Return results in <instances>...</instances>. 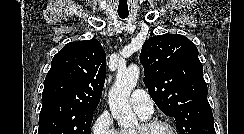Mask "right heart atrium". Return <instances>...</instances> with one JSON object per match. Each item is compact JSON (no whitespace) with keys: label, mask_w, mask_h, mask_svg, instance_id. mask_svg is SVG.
<instances>
[{"label":"right heart atrium","mask_w":244,"mask_h":134,"mask_svg":"<svg viewBox=\"0 0 244 134\" xmlns=\"http://www.w3.org/2000/svg\"><path fill=\"white\" fill-rule=\"evenodd\" d=\"M91 134H119L111 114L105 110L93 122Z\"/></svg>","instance_id":"1"}]
</instances>
